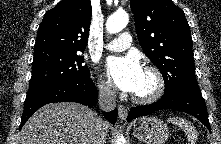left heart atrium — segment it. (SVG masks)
<instances>
[{
  "mask_svg": "<svg viewBox=\"0 0 221 144\" xmlns=\"http://www.w3.org/2000/svg\"><path fill=\"white\" fill-rule=\"evenodd\" d=\"M108 76L125 92H135L142 79L143 69L133 55L110 57L106 64Z\"/></svg>",
  "mask_w": 221,
  "mask_h": 144,
  "instance_id": "obj_1",
  "label": "left heart atrium"
}]
</instances>
